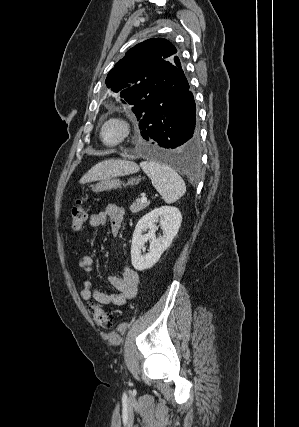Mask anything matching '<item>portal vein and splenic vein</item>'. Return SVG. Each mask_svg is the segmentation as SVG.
<instances>
[{
    "label": "portal vein and splenic vein",
    "instance_id": "1",
    "mask_svg": "<svg viewBox=\"0 0 299 427\" xmlns=\"http://www.w3.org/2000/svg\"><path fill=\"white\" fill-rule=\"evenodd\" d=\"M141 201H142V202H147V197L143 196V197L141 198Z\"/></svg>",
    "mask_w": 299,
    "mask_h": 427
}]
</instances>
